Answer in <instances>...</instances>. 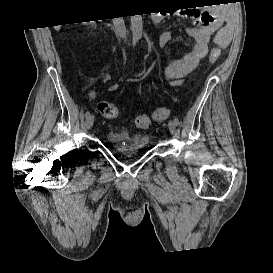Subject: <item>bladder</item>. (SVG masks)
Wrapping results in <instances>:
<instances>
[{
  "label": "bladder",
  "mask_w": 273,
  "mask_h": 273,
  "mask_svg": "<svg viewBox=\"0 0 273 273\" xmlns=\"http://www.w3.org/2000/svg\"><path fill=\"white\" fill-rule=\"evenodd\" d=\"M106 139L119 156H131L146 149L149 136L145 132L132 133L128 129L110 130Z\"/></svg>",
  "instance_id": "1"
}]
</instances>
